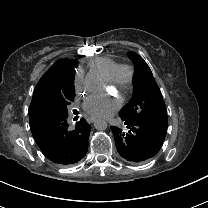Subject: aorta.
Returning a JSON list of instances; mask_svg holds the SVG:
<instances>
[{
  "label": "aorta",
  "instance_id": "762f6f07",
  "mask_svg": "<svg viewBox=\"0 0 208 208\" xmlns=\"http://www.w3.org/2000/svg\"><path fill=\"white\" fill-rule=\"evenodd\" d=\"M94 127L97 130H105L107 128V122L104 119H97L94 122Z\"/></svg>",
  "mask_w": 208,
  "mask_h": 208
}]
</instances>
